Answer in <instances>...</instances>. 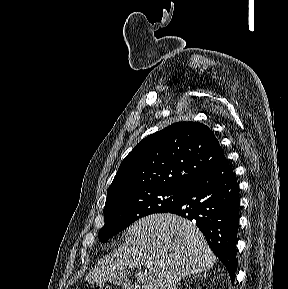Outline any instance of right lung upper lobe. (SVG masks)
Masks as SVG:
<instances>
[{
  "label": "right lung upper lobe",
  "mask_w": 288,
  "mask_h": 289,
  "mask_svg": "<svg viewBox=\"0 0 288 289\" xmlns=\"http://www.w3.org/2000/svg\"><path fill=\"white\" fill-rule=\"evenodd\" d=\"M224 157L214 133L178 122L143 139L121 162L107 197L137 189L185 188Z\"/></svg>",
  "instance_id": "1"
}]
</instances>
